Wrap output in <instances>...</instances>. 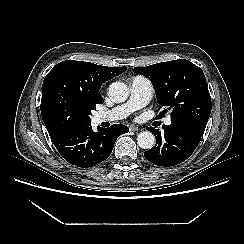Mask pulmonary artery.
Here are the masks:
<instances>
[{"label":"pulmonary artery","instance_id":"obj_1","mask_svg":"<svg viewBox=\"0 0 244 244\" xmlns=\"http://www.w3.org/2000/svg\"><path fill=\"white\" fill-rule=\"evenodd\" d=\"M153 87L151 82L142 76H136L130 83V97L124 104L111 110L100 112L96 115L97 122L115 121L127 117L133 111L147 105L152 97ZM165 125L171 124V119L166 118Z\"/></svg>","mask_w":244,"mask_h":244}]
</instances>
